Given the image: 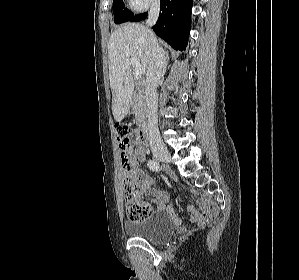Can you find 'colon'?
<instances>
[{"label":"colon","instance_id":"5ec220e1","mask_svg":"<svg viewBox=\"0 0 299 280\" xmlns=\"http://www.w3.org/2000/svg\"><path fill=\"white\" fill-rule=\"evenodd\" d=\"M116 134L123 167L126 215L132 221H142L147 218L152 211L149 205L140 199L139 188L131 183L128 175L130 167L128 152L134 139L133 130L128 125L119 124L116 126Z\"/></svg>","mask_w":299,"mask_h":280}]
</instances>
